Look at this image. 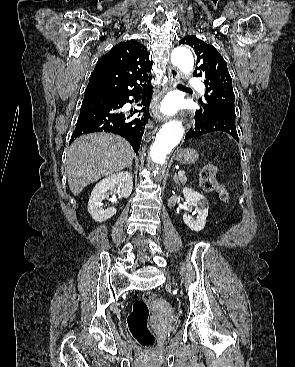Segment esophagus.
Instances as JSON below:
<instances>
[{
  "instance_id": "esophagus-1",
  "label": "esophagus",
  "mask_w": 295,
  "mask_h": 367,
  "mask_svg": "<svg viewBox=\"0 0 295 367\" xmlns=\"http://www.w3.org/2000/svg\"><path fill=\"white\" fill-rule=\"evenodd\" d=\"M178 78H179L178 71L173 67H168V80L165 85L164 93L169 91L170 89H172L175 86V84L178 81ZM155 116L159 122H165L169 119L168 116L158 111L156 112Z\"/></svg>"
}]
</instances>
